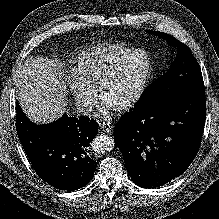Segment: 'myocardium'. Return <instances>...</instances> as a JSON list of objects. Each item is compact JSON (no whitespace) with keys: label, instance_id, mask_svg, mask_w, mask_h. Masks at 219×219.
I'll return each mask as SVG.
<instances>
[{"label":"myocardium","instance_id":"obj_1","mask_svg":"<svg viewBox=\"0 0 219 219\" xmlns=\"http://www.w3.org/2000/svg\"><path fill=\"white\" fill-rule=\"evenodd\" d=\"M137 54H144L147 56L149 60V66L146 74L143 77L142 82L140 83L137 91L134 93V95L128 99L127 101L111 106L115 111L117 112H126L130 109H132L134 106H136L139 101L142 99L144 94L146 93L149 84L151 82L152 76L154 74L155 70V61L153 59V56L151 53L143 48H134L133 50L127 52L126 54L122 55L120 58H118L105 72V74L102 76L99 84H98V92L100 97L103 96L104 90L108 86V84L111 82L113 77L117 74L118 70L122 66V64L127 61L128 59L134 57Z\"/></svg>","mask_w":219,"mask_h":219}]
</instances>
